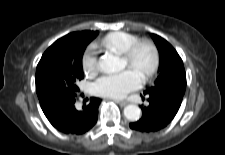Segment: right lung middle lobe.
<instances>
[{
	"label": "right lung middle lobe",
	"mask_w": 225,
	"mask_h": 155,
	"mask_svg": "<svg viewBox=\"0 0 225 155\" xmlns=\"http://www.w3.org/2000/svg\"><path fill=\"white\" fill-rule=\"evenodd\" d=\"M88 44L56 41L45 51L35 77L40 104L60 96H74L79 91L76 82L84 77L82 55Z\"/></svg>",
	"instance_id": "1"
}]
</instances>
